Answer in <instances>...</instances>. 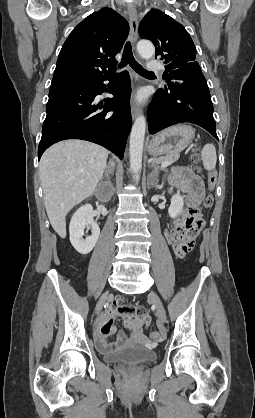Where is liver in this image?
Here are the masks:
<instances>
[{
  "label": "liver",
  "mask_w": 255,
  "mask_h": 418,
  "mask_svg": "<svg viewBox=\"0 0 255 418\" xmlns=\"http://www.w3.org/2000/svg\"><path fill=\"white\" fill-rule=\"evenodd\" d=\"M108 151L82 140L52 145L41 157L39 173L44 204L55 232L66 237V215L93 194L101 180Z\"/></svg>",
  "instance_id": "obj_1"
}]
</instances>
